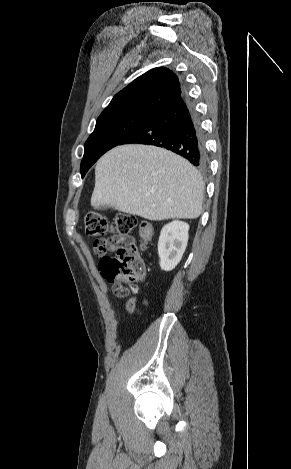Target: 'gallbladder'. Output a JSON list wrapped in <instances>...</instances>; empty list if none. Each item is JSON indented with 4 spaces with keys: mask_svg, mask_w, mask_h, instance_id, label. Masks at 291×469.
Segmentation results:
<instances>
[{
    "mask_svg": "<svg viewBox=\"0 0 291 469\" xmlns=\"http://www.w3.org/2000/svg\"><path fill=\"white\" fill-rule=\"evenodd\" d=\"M98 210H108L110 208V206H99V207H96Z\"/></svg>",
    "mask_w": 291,
    "mask_h": 469,
    "instance_id": "obj_1",
    "label": "gallbladder"
}]
</instances>
